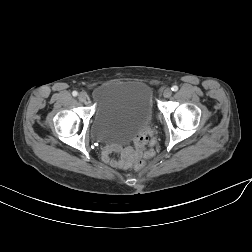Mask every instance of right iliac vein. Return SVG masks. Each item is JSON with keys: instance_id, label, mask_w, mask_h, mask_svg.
Instances as JSON below:
<instances>
[{"instance_id": "right-iliac-vein-1", "label": "right iliac vein", "mask_w": 252, "mask_h": 252, "mask_svg": "<svg viewBox=\"0 0 252 252\" xmlns=\"http://www.w3.org/2000/svg\"><path fill=\"white\" fill-rule=\"evenodd\" d=\"M79 101L83 102V103H87L89 100V96L86 92H81L78 96Z\"/></svg>"}]
</instances>
